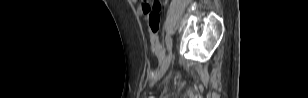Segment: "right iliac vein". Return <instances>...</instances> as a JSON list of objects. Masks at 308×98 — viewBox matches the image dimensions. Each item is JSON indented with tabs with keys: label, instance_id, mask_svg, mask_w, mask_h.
<instances>
[{
	"label": "right iliac vein",
	"instance_id": "1",
	"mask_svg": "<svg viewBox=\"0 0 308 98\" xmlns=\"http://www.w3.org/2000/svg\"><path fill=\"white\" fill-rule=\"evenodd\" d=\"M171 59H172V51L170 50L169 53L167 54L166 60L163 64L162 68L160 69V71L156 75V81L160 80L164 76V74L166 73V71L169 68Z\"/></svg>",
	"mask_w": 308,
	"mask_h": 98
}]
</instances>
